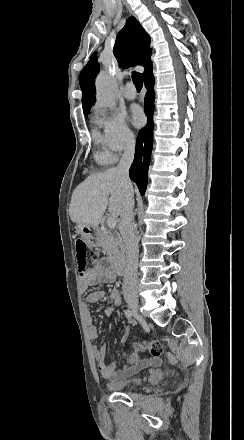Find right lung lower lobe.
Masks as SVG:
<instances>
[{"label": "right lung lower lobe", "mask_w": 244, "mask_h": 440, "mask_svg": "<svg viewBox=\"0 0 244 440\" xmlns=\"http://www.w3.org/2000/svg\"><path fill=\"white\" fill-rule=\"evenodd\" d=\"M143 80L148 89L144 105L148 121L146 126L139 131L135 159L129 170L130 178L137 184L141 195H144L147 187L148 167L153 145L154 76L152 70L146 73Z\"/></svg>", "instance_id": "right-lung-lower-lobe-1"}]
</instances>
